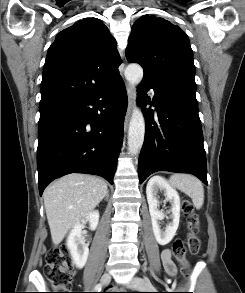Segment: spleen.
I'll return each mask as SVG.
<instances>
[{"instance_id":"1","label":"spleen","mask_w":245,"mask_h":293,"mask_svg":"<svg viewBox=\"0 0 245 293\" xmlns=\"http://www.w3.org/2000/svg\"><path fill=\"white\" fill-rule=\"evenodd\" d=\"M169 183L188 195L196 209L202 207L204 203V188L198 178L189 174H174L170 177Z\"/></svg>"}]
</instances>
